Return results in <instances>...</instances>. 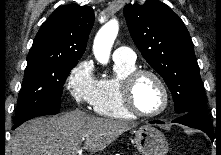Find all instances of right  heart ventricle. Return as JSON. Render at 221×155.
<instances>
[{"label":"right heart ventricle","instance_id":"right-heart-ventricle-1","mask_svg":"<svg viewBox=\"0 0 221 155\" xmlns=\"http://www.w3.org/2000/svg\"><path fill=\"white\" fill-rule=\"evenodd\" d=\"M135 69V63L115 61V75L97 80L93 103L97 114L116 119H131L135 116L125 108L121 97L122 80Z\"/></svg>","mask_w":221,"mask_h":155}]
</instances>
